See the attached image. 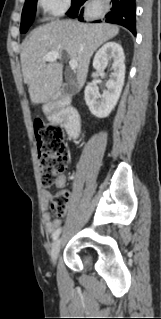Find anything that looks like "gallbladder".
<instances>
[{
	"label": "gallbladder",
	"instance_id": "bac80fb5",
	"mask_svg": "<svg viewBox=\"0 0 161 319\" xmlns=\"http://www.w3.org/2000/svg\"><path fill=\"white\" fill-rule=\"evenodd\" d=\"M73 90H74V87L69 85L64 86L62 89L63 93L65 94L72 93Z\"/></svg>",
	"mask_w": 161,
	"mask_h": 319
}]
</instances>
